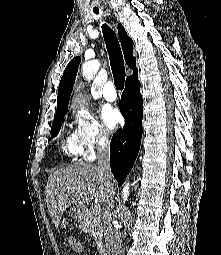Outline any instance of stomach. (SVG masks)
I'll use <instances>...</instances> for the list:
<instances>
[{
	"label": "stomach",
	"instance_id": "0dacf381",
	"mask_svg": "<svg viewBox=\"0 0 221 255\" xmlns=\"http://www.w3.org/2000/svg\"><path fill=\"white\" fill-rule=\"evenodd\" d=\"M85 208L73 205L70 207V210L68 212L69 216L75 220H79L84 216Z\"/></svg>",
	"mask_w": 221,
	"mask_h": 255
}]
</instances>
